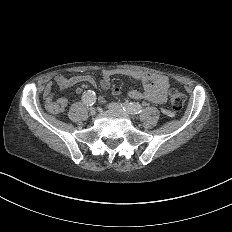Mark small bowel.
I'll list each match as a JSON object with an SVG mask.
<instances>
[{
	"mask_svg": "<svg viewBox=\"0 0 232 232\" xmlns=\"http://www.w3.org/2000/svg\"><path fill=\"white\" fill-rule=\"evenodd\" d=\"M128 76L144 85L145 92L135 89L127 91L130 98H144L156 103H165L167 99V91L172 87L173 82L167 76L160 73H147L138 69H104L100 71V85L104 94L110 97H118L119 93L111 90V79L114 76ZM80 83H89L93 86L97 85V80L94 78H73L67 77L64 74L54 76V81H50L45 86V94L51 95L55 90V86L60 88H68ZM77 93L82 92V88L76 89ZM104 98V95L101 99Z\"/></svg>",
	"mask_w": 232,
	"mask_h": 232,
	"instance_id": "small-bowel-1",
	"label": "small bowel"
}]
</instances>
